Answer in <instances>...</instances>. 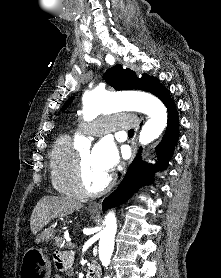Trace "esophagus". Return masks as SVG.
I'll list each match as a JSON object with an SVG mask.
<instances>
[{
	"label": "esophagus",
	"mask_w": 221,
	"mask_h": 278,
	"mask_svg": "<svg viewBox=\"0 0 221 278\" xmlns=\"http://www.w3.org/2000/svg\"><path fill=\"white\" fill-rule=\"evenodd\" d=\"M134 153L132 154V157L130 158V160L128 161V164H130L134 158ZM89 208L91 210H94V211H99L100 210V204L98 202H92L90 205H89Z\"/></svg>",
	"instance_id": "esophagus-1"
}]
</instances>
